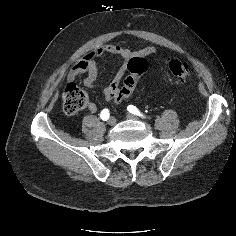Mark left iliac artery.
<instances>
[{
	"label": "left iliac artery",
	"mask_w": 236,
	"mask_h": 236,
	"mask_svg": "<svg viewBox=\"0 0 236 236\" xmlns=\"http://www.w3.org/2000/svg\"><path fill=\"white\" fill-rule=\"evenodd\" d=\"M127 110H128L130 113L134 114V115H137V116H140V117H142V118H145V116H144L135 106H133V105H129V106L127 107Z\"/></svg>",
	"instance_id": "left-iliac-artery-1"
}]
</instances>
